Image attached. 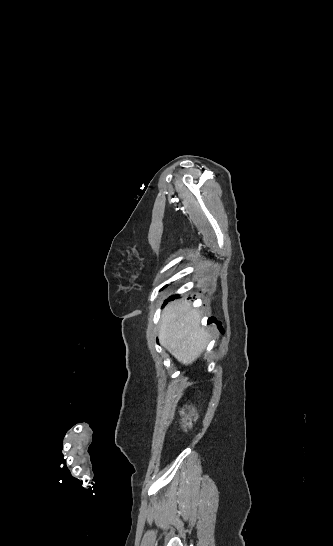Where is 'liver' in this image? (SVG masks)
I'll use <instances>...</instances> for the list:
<instances>
[{
	"mask_svg": "<svg viewBox=\"0 0 333 546\" xmlns=\"http://www.w3.org/2000/svg\"><path fill=\"white\" fill-rule=\"evenodd\" d=\"M200 311L187 299L168 304L162 312L159 341L179 362L192 364L205 350L209 334L200 326Z\"/></svg>",
	"mask_w": 333,
	"mask_h": 546,
	"instance_id": "liver-1",
	"label": "liver"
}]
</instances>
